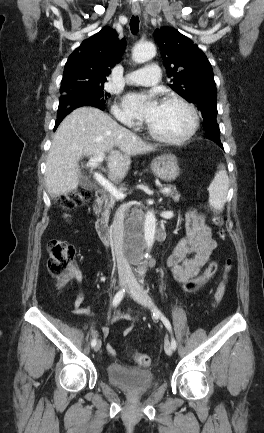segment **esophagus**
<instances>
[{"instance_id": "1", "label": "esophagus", "mask_w": 264, "mask_h": 433, "mask_svg": "<svg viewBox=\"0 0 264 433\" xmlns=\"http://www.w3.org/2000/svg\"><path fill=\"white\" fill-rule=\"evenodd\" d=\"M132 12H133V14H135V15L140 14L141 9H140V6H139L138 3H134V4H133V6H132Z\"/></svg>"}]
</instances>
